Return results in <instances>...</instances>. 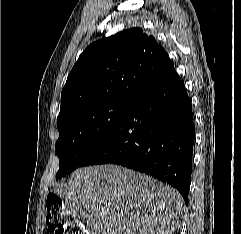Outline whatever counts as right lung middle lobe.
I'll return each mask as SVG.
<instances>
[{
	"label": "right lung middle lobe",
	"instance_id": "1",
	"mask_svg": "<svg viewBox=\"0 0 241 234\" xmlns=\"http://www.w3.org/2000/svg\"><path fill=\"white\" fill-rule=\"evenodd\" d=\"M131 104L105 103L81 109L58 125L59 138L56 151L62 178L81 166L91 154L119 125Z\"/></svg>",
	"mask_w": 241,
	"mask_h": 234
}]
</instances>
